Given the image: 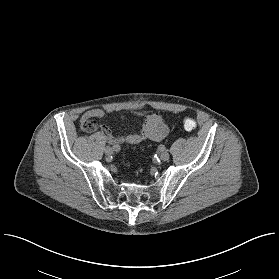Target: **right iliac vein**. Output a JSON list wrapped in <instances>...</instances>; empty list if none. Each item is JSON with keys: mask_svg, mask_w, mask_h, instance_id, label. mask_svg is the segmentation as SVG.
<instances>
[{"mask_svg": "<svg viewBox=\"0 0 279 279\" xmlns=\"http://www.w3.org/2000/svg\"><path fill=\"white\" fill-rule=\"evenodd\" d=\"M104 152L107 155H111V154H113V149L110 146H107V147H105Z\"/></svg>", "mask_w": 279, "mask_h": 279, "instance_id": "1", "label": "right iliac vein"}]
</instances>
